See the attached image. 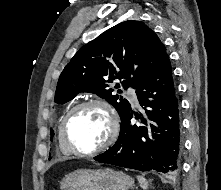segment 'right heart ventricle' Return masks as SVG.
I'll list each match as a JSON object with an SVG mask.
<instances>
[{
	"mask_svg": "<svg viewBox=\"0 0 221 190\" xmlns=\"http://www.w3.org/2000/svg\"><path fill=\"white\" fill-rule=\"evenodd\" d=\"M59 128H60V126H59ZM58 146H59V150L61 151V153L63 155H72V153L67 149V147L62 142L59 131H58Z\"/></svg>",
	"mask_w": 221,
	"mask_h": 190,
	"instance_id": "obj_1",
	"label": "right heart ventricle"
}]
</instances>
